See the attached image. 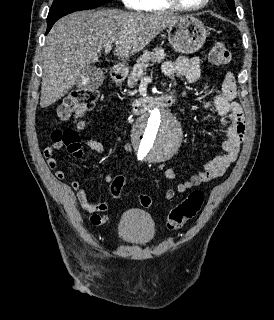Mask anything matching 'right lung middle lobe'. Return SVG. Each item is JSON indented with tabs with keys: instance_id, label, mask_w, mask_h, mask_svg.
Wrapping results in <instances>:
<instances>
[{
	"instance_id": "1",
	"label": "right lung middle lobe",
	"mask_w": 274,
	"mask_h": 320,
	"mask_svg": "<svg viewBox=\"0 0 274 320\" xmlns=\"http://www.w3.org/2000/svg\"><path fill=\"white\" fill-rule=\"evenodd\" d=\"M112 0H54L47 21L57 20L75 11L94 9Z\"/></svg>"
}]
</instances>
